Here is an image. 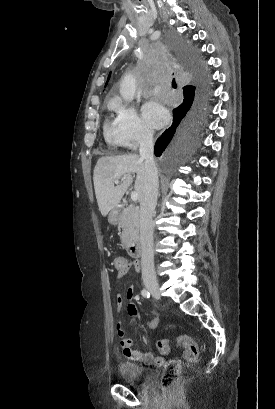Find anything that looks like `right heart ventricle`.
Wrapping results in <instances>:
<instances>
[{
    "label": "right heart ventricle",
    "instance_id": "1",
    "mask_svg": "<svg viewBox=\"0 0 275 409\" xmlns=\"http://www.w3.org/2000/svg\"><path fill=\"white\" fill-rule=\"evenodd\" d=\"M104 136L113 152H119L123 142L115 122L106 121L104 125Z\"/></svg>",
    "mask_w": 275,
    "mask_h": 409
}]
</instances>
